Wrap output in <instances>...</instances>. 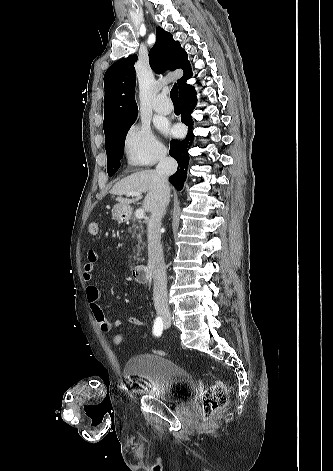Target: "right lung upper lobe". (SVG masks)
<instances>
[{"mask_svg":"<svg viewBox=\"0 0 333 471\" xmlns=\"http://www.w3.org/2000/svg\"><path fill=\"white\" fill-rule=\"evenodd\" d=\"M157 41L149 52V63L157 73L182 69L184 74L178 80L179 94L188 85L191 67L187 53L172 34L161 27L156 29ZM137 55L116 61L104 75V132L112 126L129 120L138 114L135 97V68Z\"/></svg>","mask_w":333,"mask_h":471,"instance_id":"right-lung-upper-lobe-1","label":"right lung upper lobe"}]
</instances>
